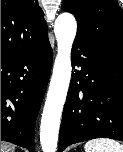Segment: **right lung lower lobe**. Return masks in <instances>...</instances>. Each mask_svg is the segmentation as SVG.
I'll list each match as a JSON object with an SVG mask.
<instances>
[{
	"mask_svg": "<svg viewBox=\"0 0 123 152\" xmlns=\"http://www.w3.org/2000/svg\"><path fill=\"white\" fill-rule=\"evenodd\" d=\"M51 65L47 36L26 51L1 56V140L34 152L35 123Z\"/></svg>",
	"mask_w": 123,
	"mask_h": 152,
	"instance_id": "1",
	"label": "right lung lower lobe"
}]
</instances>
